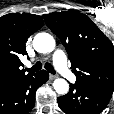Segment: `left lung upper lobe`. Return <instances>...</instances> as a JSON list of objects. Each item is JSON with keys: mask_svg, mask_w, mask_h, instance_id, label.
I'll use <instances>...</instances> for the list:
<instances>
[{"mask_svg": "<svg viewBox=\"0 0 114 114\" xmlns=\"http://www.w3.org/2000/svg\"><path fill=\"white\" fill-rule=\"evenodd\" d=\"M68 53L76 82L114 91V46L85 14L63 11L43 15Z\"/></svg>", "mask_w": 114, "mask_h": 114, "instance_id": "1", "label": "left lung upper lobe"}]
</instances>
